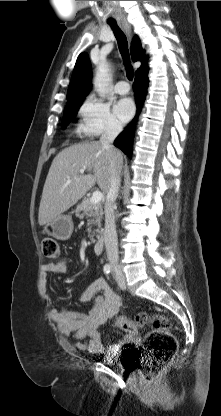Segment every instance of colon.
<instances>
[{
    "label": "colon",
    "mask_w": 221,
    "mask_h": 416,
    "mask_svg": "<svg viewBox=\"0 0 221 416\" xmlns=\"http://www.w3.org/2000/svg\"><path fill=\"white\" fill-rule=\"evenodd\" d=\"M42 253L48 259L56 258L60 253L57 240L44 238ZM147 324L151 325V330L145 335L141 345V372L151 380L163 370L177 350V338L170 331L169 320L159 314L149 316L142 313L134 320L120 316L115 323L117 328L129 334H135L140 327Z\"/></svg>",
    "instance_id": "1"
}]
</instances>
